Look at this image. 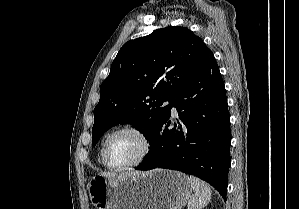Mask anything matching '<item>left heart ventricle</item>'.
<instances>
[{"instance_id":"obj_1","label":"left heart ventricle","mask_w":299,"mask_h":209,"mask_svg":"<svg viewBox=\"0 0 299 209\" xmlns=\"http://www.w3.org/2000/svg\"><path fill=\"white\" fill-rule=\"evenodd\" d=\"M142 151V142L133 133L125 132L116 135L110 142L108 161L114 166L133 162Z\"/></svg>"}]
</instances>
